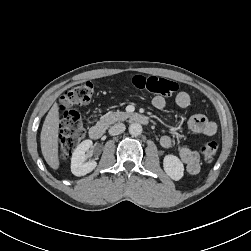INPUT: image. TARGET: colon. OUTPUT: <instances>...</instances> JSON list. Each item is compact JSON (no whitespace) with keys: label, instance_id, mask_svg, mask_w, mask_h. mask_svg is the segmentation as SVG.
I'll return each instance as SVG.
<instances>
[{"label":"colon","instance_id":"1","mask_svg":"<svg viewBox=\"0 0 251 251\" xmlns=\"http://www.w3.org/2000/svg\"><path fill=\"white\" fill-rule=\"evenodd\" d=\"M133 87L155 95L171 96L178 90V84L172 80L157 76L136 75L131 79ZM94 95V85L83 82L67 89L60 100L62 118L60 122V157L68 159L84 136V127L76 107L88 104ZM218 151L216 141L206 142L201 149L203 158L211 162Z\"/></svg>","mask_w":251,"mask_h":251}]
</instances>
